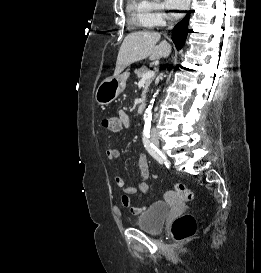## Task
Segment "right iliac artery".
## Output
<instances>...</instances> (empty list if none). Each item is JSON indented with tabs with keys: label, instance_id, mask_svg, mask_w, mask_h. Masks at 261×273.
Returning <instances> with one entry per match:
<instances>
[{
	"label": "right iliac artery",
	"instance_id": "1",
	"mask_svg": "<svg viewBox=\"0 0 261 273\" xmlns=\"http://www.w3.org/2000/svg\"><path fill=\"white\" fill-rule=\"evenodd\" d=\"M143 144L149 154L156 159L160 164L164 162L163 154L154 146V144L150 140V130L144 129L143 132Z\"/></svg>",
	"mask_w": 261,
	"mask_h": 273
}]
</instances>
